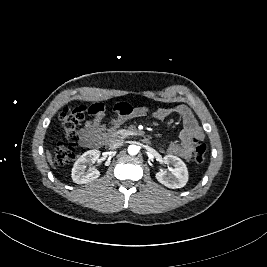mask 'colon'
Instances as JSON below:
<instances>
[{
    "mask_svg": "<svg viewBox=\"0 0 267 267\" xmlns=\"http://www.w3.org/2000/svg\"><path fill=\"white\" fill-rule=\"evenodd\" d=\"M93 111L92 106L85 105L65 107L60 114L61 129L66 141H59L55 148V163L64 166L72 162L77 156V140L79 137L78 126L85 119L87 114ZM206 145L198 142L195 145L193 156L197 163L205 159Z\"/></svg>",
    "mask_w": 267,
    "mask_h": 267,
    "instance_id": "1",
    "label": "colon"
}]
</instances>
